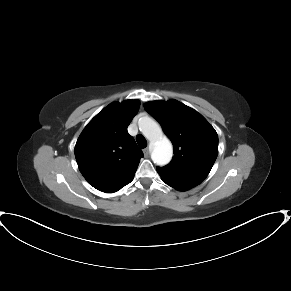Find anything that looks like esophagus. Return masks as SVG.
I'll use <instances>...</instances> for the list:
<instances>
[{
    "label": "esophagus",
    "mask_w": 291,
    "mask_h": 291,
    "mask_svg": "<svg viewBox=\"0 0 291 291\" xmlns=\"http://www.w3.org/2000/svg\"><path fill=\"white\" fill-rule=\"evenodd\" d=\"M143 153H144L145 157H148L149 156V150H148V148H145L143 150Z\"/></svg>",
    "instance_id": "34e87169"
}]
</instances>
